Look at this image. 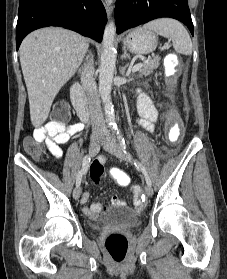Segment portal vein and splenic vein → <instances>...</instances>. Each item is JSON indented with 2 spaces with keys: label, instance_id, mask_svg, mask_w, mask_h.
<instances>
[{
  "label": "portal vein and splenic vein",
  "instance_id": "1",
  "mask_svg": "<svg viewBox=\"0 0 227 279\" xmlns=\"http://www.w3.org/2000/svg\"><path fill=\"white\" fill-rule=\"evenodd\" d=\"M166 48H167L166 46H163V47H161L160 49H161V50H164V49H166ZM143 65H144L143 63H137L136 65L133 66L132 72L138 71Z\"/></svg>",
  "mask_w": 227,
  "mask_h": 279
}]
</instances>
